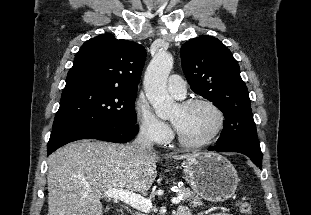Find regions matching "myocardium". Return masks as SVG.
Instances as JSON below:
<instances>
[{
	"label": "myocardium",
	"mask_w": 311,
	"mask_h": 215,
	"mask_svg": "<svg viewBox=\"0 0 311 215\" xmlns=\"http://www.w3.org/2000/svg\"><path fill=\"white\" fill-rule=\"evenodd\" d=\"M199 104L206 105L215 112L217 116V124L214 130L212 131V133L208 137H206L204 140L199 141V142H190V141L185 140L180 135L178 130L176 129V137H177V141L179 142V144L182 145L183 147L190 148V149H199L210 144L221 133L224 127V124H225V115L223 111L220 109V107L217 104H215L213 101L209 99L200 98V97L190 98V99L181 101L178 105L181 108L186 109V108L192 107L194 105H199Z\"/></svg>",
	"instance_id": "f54148a6"
}]
</instances>
